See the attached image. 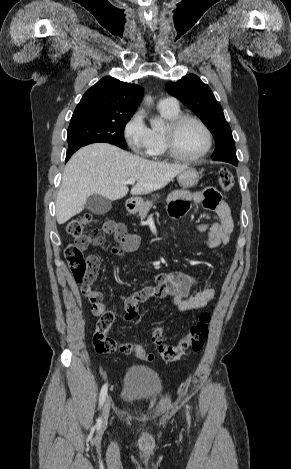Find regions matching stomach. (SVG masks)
Instances as JSON below:
<instances>
[{
  "label": "stomach",
  "instance_id": "1",
  "mask_svg": "<svg viewBox=\"0 0 291 469\" xmlns=\"http://www.w3.org/2000/svg\"><path fill=\"white\" fill-rule=\"evenodd\" d=\"M200 176L195 168H187L178 174L177 180L180 186L183 188L192 187L199 181ZM134 210H139L143 205V199L140 197H134L131 199Z\"/></svg>",
  "mask_w": 291,
  "mask_h": 469
}]
</instances>
